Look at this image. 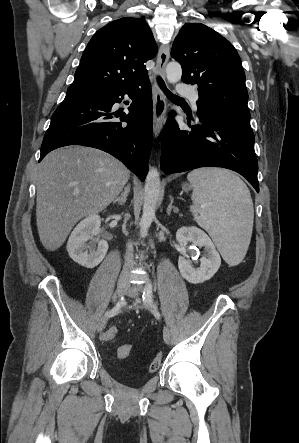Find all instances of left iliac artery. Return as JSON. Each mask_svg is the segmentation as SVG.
Returning a JSON list of instances; mask_svg holds the SVG:
<instances>
[{
	"instance_id": "obj_1",
	"label": "left iliac artery",
	"mask_w": 299,
	"mask_h": 443,
	"mask_svg": "<svg viewBox=\"0 0 299 443\" xmlns=\"http://www.w3.org/2000/svg\"><path fill=\"white\" fill-rule=\"evenodd\" d=\"M143 300L148 302L151 306L156 308V305L153 303L152 300V284L148 283L145 287V290L143 292Z\"/></svg>"
}]
</instances>
